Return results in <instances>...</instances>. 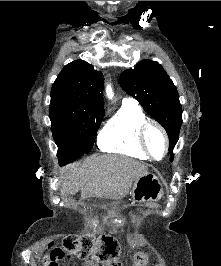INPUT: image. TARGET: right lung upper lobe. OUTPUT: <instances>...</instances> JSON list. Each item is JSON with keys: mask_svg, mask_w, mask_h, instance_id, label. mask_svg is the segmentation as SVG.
Segmentation results:
<instances>
[{"mask_svg": "<svg viewBox=\"0 0 221 266\" xmlns=\"http://www.w3.org/2000/svg\"><path fill=\"white\" fill-rule=\"evenodd\" d=\"M104 77L94 67L77 60L67 64L59 73L51 90L52 98H67L85 113H104Z\"/></svg>", "mask_w": 221, "mask_h": 266, "instance_id": "cb5924a9", "label": "right lung upper lobe"}]
</instances>
